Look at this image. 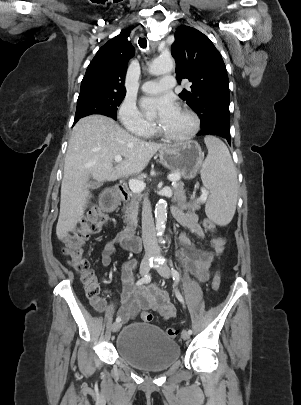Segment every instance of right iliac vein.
Returning <instances> with one entry per match:
<instances>
[{"instance_id": "obj_1", "label": "right iliac vein", "mask_w": 301, "mask_h": 405, "mask_svg": "<svg viewBox=\"0 0 301 405\" xmlns=\"http://www.w3.org/2000/svg\"><path fill=\"white\" fill-rule=\"evenodd\" d=\"M148 271H149L148 262L147 259H144L140 266V275L145 276L147 275ZM121 325L122 324L120 322L113 323L111 327L112 332H117L121 328Z\"/></svg>"}]
</instances>
